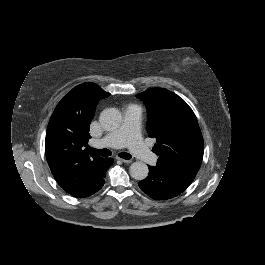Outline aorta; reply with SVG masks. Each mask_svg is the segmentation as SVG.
Segmentation results:
<instances>
[{
  "mask_svg": "<svg viewBox=\"0 0 265 265\" xmlns=\"http://www.w3.org/2000/svg\"><path fill=\"white\" fill-rule=\"evenodd\" d=\"M100 123L106 130H113L120 126L122 121L121 113L116 108H106L100 114ZM148 166L141 161L131 164L129 173L136 180H143L148 176Z\"/></svg>",
  "mask_w": 265,
  "mask_h": 265,
  "instance_id": "aorta-1",
  "label": "aorta"
}]
</instances>
